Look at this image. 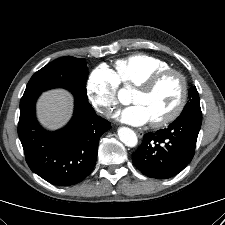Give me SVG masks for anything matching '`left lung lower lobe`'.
Returning <instances> with one entry per match:
<instances>
[{"label":"left lung lower lobe","instance_id":"obj_1","mask_svg":"<svg viewBox=\"0 0 225 225\" xmlns=\"http://www.w3.org/2000/svg\"><path fill=\"white\" fill-rule=\"evenodd\" d=\"M201 122V111H191L179 116L168 128L145 134L141 146L132 154L135 167L156 179L181 172L194 156Z\"/></svg>","mask_w":225,"mask_h":225}]
</instances>
